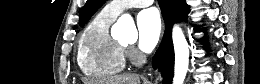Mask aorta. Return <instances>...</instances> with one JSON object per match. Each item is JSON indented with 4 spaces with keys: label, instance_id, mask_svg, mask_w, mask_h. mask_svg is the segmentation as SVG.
<instances>
[{
    "label": "aorta",
    "instance_id": "762f6f07",
    "mask_svg": "<svg viewBox=\"0 0 260 84\" xmlns=\"http://www.w3.org/2000/svg\"><path fill=\"white\" fill-rule=\"evenodd\" d=\"M119 34L127 40H135L138 36L133 18L129 14H123L116 22ZM172 40L175 52V66L173 84H183L189 65V45L179 26H174Z\"/></svg>",
    "mask_w": 260,
    "mask_h": 84
}]
</instances>
